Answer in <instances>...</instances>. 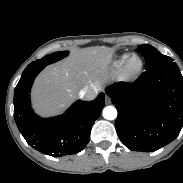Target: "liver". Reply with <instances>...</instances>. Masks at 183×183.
<instances>
[{"label":"liver","instance_id":"liver-1","mask_svg":"<svg viewBox=\"0 0 183 183\" xmlns=\"http://www.w3.org/2000/svg\"><path fill=\"white\" fill-rule=\"evenodd\" d=\"M107 48L89 47L48 66L36 79L33 106L41 115H53L65 108L77 92L87 87L101 88L111 62Z\"/></svg>","mask_w":183,"mask_h":183}]
</instances>
